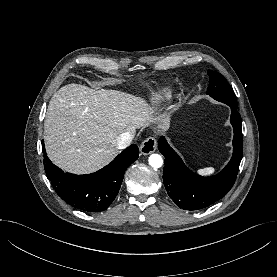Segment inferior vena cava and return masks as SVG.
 Returning <instances> with one entry per match:
<instances>
[{
    "label": "inferior vena cava",
    "instance_id": "obj_1",
    "mask_svg": "<svg viewBox=\"0 0 277 277\" xmlns=\"http://www.w3.org/2000/svg\"><path fill=\"white\" fill-rule=\"evenodd\" d=\"M135 133H131V132H124L122 133L116 143H117V148L118 149H124L126 148L132 141V139L134 138Z\"/></svg>",
    "mask_w": 277,
    "mask_h": 277
}]
</instances>
